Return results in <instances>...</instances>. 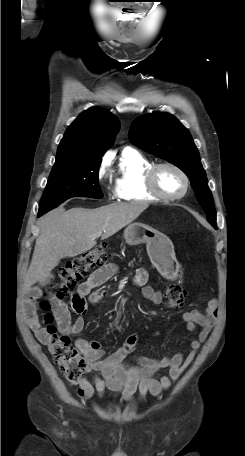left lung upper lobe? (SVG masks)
<instances>
[{"mask_svg":"<svg viewBox=\"0 0 245 456\" xmlns=\"http://www.w3.org/2000/svg\"><path fill=\"white\" fill-rule=\"evenodd\" d=\"M129 139L146 152L174 164L188 176L208 222L217 229L212 194L189 131L169 114L152 113L132 122Z\"/></svg>","mask_w":245,"mask_h":456,"instance_id":"1","label":"left lung upper lobe"}]
</instances>
